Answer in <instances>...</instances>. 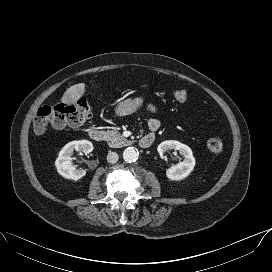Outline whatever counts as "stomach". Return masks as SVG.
Here are the masks:
<instances>
[{
    "instance_id": "1",
    "label": "stomach",
    "mask_w": 272,
    "mask_h": 272,
    "mask_svg": "<svg viewBox=\"0 0 272 272\" xmlns=\"http://www.w3.org/2000/svg\"><path fill=\"white\" fill-rule=\"evenodd\" d=\"M143 102V96L126 99L118 104L116 107V113L119 116L131 115L142 106Z\"/></svg>"
}]
</instances>
